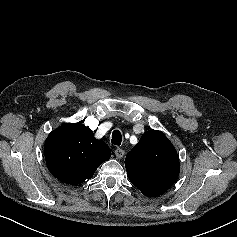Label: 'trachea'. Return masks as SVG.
Instances as JSON below:
<instances>
[{
	"label": "trachea",
	"mask_w": 237,
	"mask_h": 237,
	"mask_svg": "<svg viewBox=\"0 0 237 237\" xmlns=\"http://www.w3.org/2000/svg\"><path fill=\"white\" fill-rule=\"evenodd\" d=\"M111 142L112 144L117 145V146L121 145L122 135L119 130L113 131Z\"/></svg>",
	"instance_id": "1"
}]
</instances>
